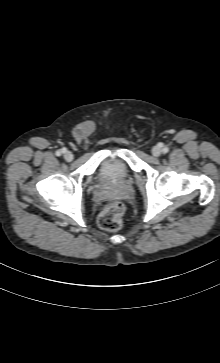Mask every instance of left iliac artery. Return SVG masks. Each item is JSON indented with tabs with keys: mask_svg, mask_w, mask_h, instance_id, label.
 Masks as SVG:
<instances>
[{
	"mask_svg": "<svg viewBox=\"0 0 220 363\" xmlns=\"http://www.w3.org/2000/svg\"><path fill=\"white\" fill-rule=\"evenodd\" d=\"M169 151V149L167 148V147H165L164 149H163V152L164 153H167Z\"/></svg>",
	"mask_w": 220,
	"mask_h": 363,
	"instance_id": "left-iliac-artery-1",
	"label": "left iliac artery"
}]
</instances>
